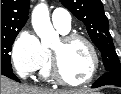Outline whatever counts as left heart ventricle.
Returning <instances> with one entry per match:
<instances>
[{
  "label": "left heart ventricle",
  "instance_id": "b2bd125f",
  "mask_svg": "<svg viewBox=\"0 0 121 94\" xmlns=\"http://www.w3.org/2000/svg\"><path fill=\"white\" fill-rule=\"evenodd\" d=\"M60 57L63 75L72 82L84 81L93 68L88 47L80 40L63 43L61 38L53 45Z\"/></svg>",
  "mask_w": 121,
  "mask_h": 94
}]
</instances>
